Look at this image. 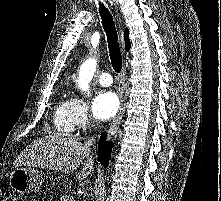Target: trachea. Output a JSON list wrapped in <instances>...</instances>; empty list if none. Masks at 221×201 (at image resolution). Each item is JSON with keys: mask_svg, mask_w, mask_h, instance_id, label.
I'll list each match as a JSON object with an SVG mask.
<instances>
[{"mask_svg": "<svg viewBox=\"0 0 221 201\" xmlns=\"http://www.w3.org/2000/svg\"><path fill=\"white\" fill-rule=\"evenodd\" d=\"M99 5L103 28L107 35L111 64L115 72L119 73L122 68V56L118 43L116 27L108 9L101 3H99Z\"/></svg>", "mask_w": 221, "mask_h": 201, "instance_id": "trachea-1", "label": "trachea"}]
</instances>
